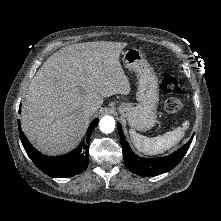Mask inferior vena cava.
<instances>
[{"instance_id": "602c4592", "label": "inferior vena cava", "mask_w": 221, "mask_h": 221, "mask_svg": "<svg viewBox=\"0 0 221 221\" xmlns=\"http://www.w3.org/2000/svg\"><path fill=\"white\" fill-rule=\"evenodd\" d=\"M97 111V106L93 103L84 106V113L88 116L93 115Z\"/></svg>"}]
</instances>
